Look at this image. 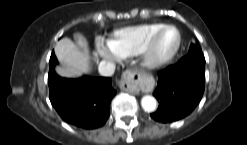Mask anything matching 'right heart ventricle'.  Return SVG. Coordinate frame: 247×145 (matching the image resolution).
<instances>
[{
	"label": "right heart ventricle",
	"instance_id": "obj_1",
	"mask_svg": "<svg viewBox=\"0 0 247 145\" xmlns=\"http://www.w3.org/2000/svg\"><path fill=\"white\" fill-rule=\"evenodd\" d=\"M164 25L160 22H149L116 30L108 43L120 57L138 55L151 34Z\"/></svg>",
	"mask_w": 247,
	"mask_h": 145
}]
</instances>
